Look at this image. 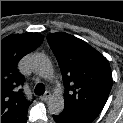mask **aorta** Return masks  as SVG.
I'll use <instances>...</instances> for the list:
<instances>
[{
    "mask_svg": "<svg viewBox=\"0 0 123 123\" xmlns=\"http://www.w3.org/2000/svg\"><path fill=\"white\" fill-rule=\"evenodd\" d=\"M33 70L41 77L49 79L54 70L50 59L42 53H37L31 61ZM48 109L51 114L59 115L64 109V98L61 92L56 91L48 101Z\"/></svg>",
    "mask_w": 123,
    "mask_h": 123,
    "instance_id": "762f6f07",
    "label": "aorta"
}]
</instances>
